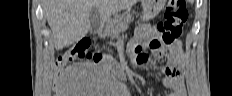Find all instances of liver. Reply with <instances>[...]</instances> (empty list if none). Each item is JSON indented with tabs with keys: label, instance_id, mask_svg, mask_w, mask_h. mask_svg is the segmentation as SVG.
Returning <instances> with one entry per match:
<instances>
[{
	"label": "liver",
	"instance_id": "obj_1",
	"mask_svg": "<svg viewBox=\"0 0 232 96\" xmlns=\"http://www.w3.org/2000/svg\"><path fill=\"white\" fill-rule=\"evenodd\" d=\"M136 0H44V12L51 28L54 46L61 50L81 40L90 29V11L98 9L101 20L129 8Z\"/></svg>",
	"mask_w": 232,
	"mask_h": 96
}]
</instances>
